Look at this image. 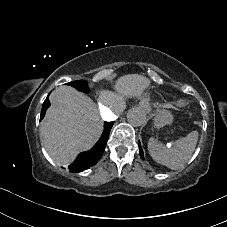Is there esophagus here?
I'll list each match as a JSON object with an SVG mask.
<instances>
[{
	"label": "esophagus",
	"instance_id": "esophagus-1",
	"mask_svg": "<svg viewBox=\"0 0 227 227\" xmlns=\"http://www.w3.org/2000/svg\"><path fill=\"white\" fill-rule=\"evenodd\" d=\"M140 109L145 117H150L152 115V110L149 103L147 102L142 103Z\"/></svg>",
	"mask_w": 227,
	"mask_h": 227
}]
</instances>
